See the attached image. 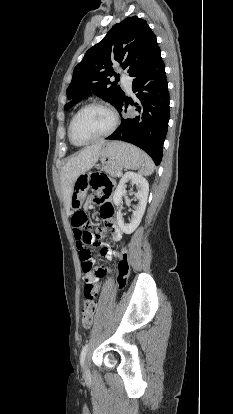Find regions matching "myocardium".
Segmentation results:
<instances>
[{
	"mask_svg": "<svg viewBox=\"0 0 233 414\" xmlns=\"http://www.w3.org/2000/svg\"><path fill=\"white\" fill-rule=\"evenodd\" d=\"M91 108H99V109H102V110L106 111L111 116V125H110L109 129L106 132H104V133H102V134H100V135H98V136H96L92 139H89V140H86V141H83V142H78L73 137L74 123H75L76 119L78 118V116L82 112H84L87 109H91ZM119 121H120V119H119L118 113L111 106L103 104V103H99V102L88 103V104L84 105L83 107H81L74 114V116L72 117L70 125H69V132H68L69 133V139L74 145H78V146L87 145V144H91V143L100 141L102 139H105V138L109 137L110 135H112L115 132V130L117 129V127L119 125Z\"/></svg>",
	"mask_w": 233,
	"mask_h": 414,
	"instance_id": "obj_1",
	"label": "myocardium"
}]
</instances>
